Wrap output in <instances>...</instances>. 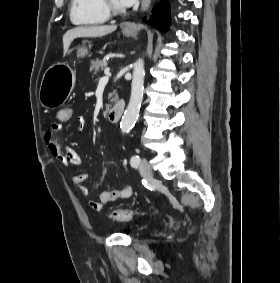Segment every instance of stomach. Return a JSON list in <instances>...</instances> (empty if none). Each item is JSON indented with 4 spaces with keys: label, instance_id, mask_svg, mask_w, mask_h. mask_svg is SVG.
Returning <instances> with one entry per match:
<instances>
[{
    "label": "stomach",
    "instance_id": "0dacf381",
    "mask_svg": "<svg viewBox=\"0 0 280 283\" xmlns=\"http://www.w3.org/2000/svg\"><path fill=\"white\" fill-rule=\"evenodd\" d=\"M123 34L127 37L137 35L135 28L124 27ZM88 53L87 48L82 47L78 50L77 56L84 57ZM76 80V72L63 62L51 65L43 75L39 101L45 108H55L62 105L70 96Z\"/></svg>",
    "mask_w": 280,
    "mask_h": 283
}]
</instances>
